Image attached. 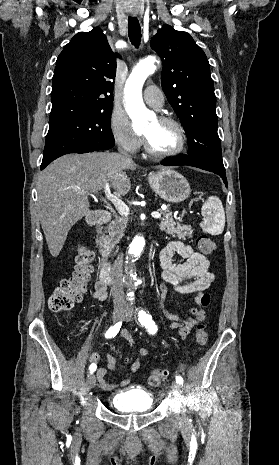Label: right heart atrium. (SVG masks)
<instances>
[{
    "instance_id": "obj_1",
    "label": "right heart atrium",
    "mask_w": 279,
    "mask_h": 465,
    "mask_svg": "<svg viewBox=\"0 0 279 465\" xmlns=\"http://www.w3.org/2000/svg\"><path fill=\"white\" fill-rule=\"evenodd\" d=\"M111 135L117 146L125 152L135 153L142 145V138L132 128L127 115L115 110L110 118Z\"/></svg>"
}]
</instances>
